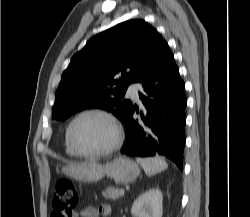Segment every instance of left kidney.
<instances>
[{
    "mask_svg": "<svg viewBox=\"0 0 250 217\" xmlns=\"http://www.w3.org/2000/svg\"><path fill=\"white\" fill-rule=\"evenodd\" d=\"M131 212L134 217H162V192L157 188L145 191L134 201Z\"/></svg>",
    "mask_w": 250,
    "mask_h": 217,
    "instance_id": "left-kidney-1",
    "label": "left kidney"
}]
</instances>
